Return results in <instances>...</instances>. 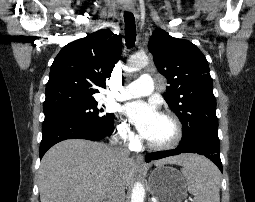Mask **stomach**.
<instances>
[{
  "instance_id": "stomach-1",
  "label": "stomach",
  "mask_w": 255,
  "mask_h": 202,
  "mask_svg": "<svg viewBox=\"0 0 255 202\" xmlns=\"http://www.w3.org/2000/svg\"><path fill=\"white\" fill-rule=\"evenodd\" d=\"M148 189L158 202H182L187 196V182L175 168L159 165L152 171Z\"/></svg>"
}]
</instances>
